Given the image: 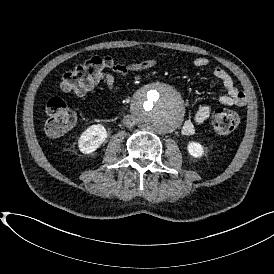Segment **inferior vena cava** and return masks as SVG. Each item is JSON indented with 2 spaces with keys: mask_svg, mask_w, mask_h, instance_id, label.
Listing matches in <instances>:
<instances>
[{
  "mask_svg": "<svg viewBox=\"0 0 274 274\" xmlns=\"http://www.w3.org/2000/svg\"><path fill=\"white\" fill-rule=\"evenodd\" d=\"M123 122L127 127H133L135 125V123L133 122V118L131 117L125 118Z\"/></svg>",
  "mask_w": 274,
  "mask_h": 274,
  "instance_id": "602c4592",
  "label": "inferior vena cava"
}]
</instances>
